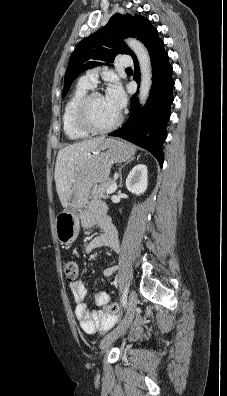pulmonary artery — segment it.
Returning <instances> with one entry per match:
<instances>
[{"label":"pulmonary artery","mask_w":227,"mask_h":396,"mask_svg":"<svg viewBox=\"0 0 227 396\" xmlns=\"http://www.w3.org/2000/svg\"><path fill=\"white\" fill-rule=\"evenodd\" d=\"M119 65L122 67H129L133 65V61L129 56H123L120 61ZM97 76H98V69H91L88 70L85 75L81 77V81L90 87H94L96 82H97Z\"/></svg>","instance_id":"e3ab8cb5"}]
</instances>
